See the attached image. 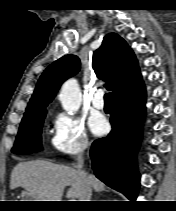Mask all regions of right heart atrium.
Returning a JSON list of instances; mask_svg holds the SVG:
<instances>
[{
	"instance_id": "d8ad5b80",
	"label": "right heart atrium",
	"mask_w": 176,
	"mask_h": 211,
	"mask_svg": "<svg viewBox=\"0 0 176 211\" xmlns=\"http://www.w3.org/2000/svg\"><path fill=\"white\" fill-rule=\"evenodd\" d=\"M90 145L81 119L67 112H58L52 124L51 146L62 155H78Z\"/></svg>"
}]
</instances>
